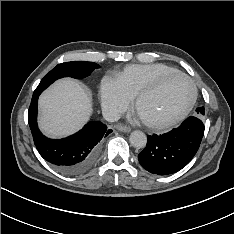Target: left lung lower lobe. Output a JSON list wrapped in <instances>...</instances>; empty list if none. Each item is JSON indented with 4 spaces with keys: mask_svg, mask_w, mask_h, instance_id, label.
I'll use <instances>...</instances> for the list:
<instances>
[{
    "mask_svg": "<svg viewBox=\"0 0 234 234\" xmlns=\"http://www.w3.org/2000/svg\"><path fill=\"white\" fill-rule=\"evenodd\" d=\"M200 117H188L178 128L148 136L147 145L138 154L141 166L153 174L168 175L184 168L199 149L204 135Z\"/></svg>",
    "mask_w": 234,
    "mask_h": 234,
    "instance_id": "0a47b994",
    "label": "left lung lower lobe"
}]
</instances>
